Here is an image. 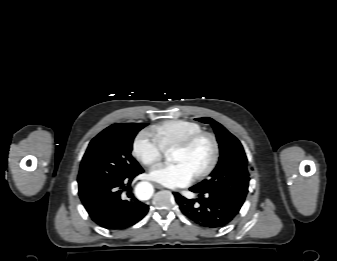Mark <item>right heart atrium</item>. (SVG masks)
Returning <instances> with one entry per match:
<instances>
[{
    "label": "right heart atrium",
    "instance_id": "obj_1",
    "mask_svg": "<svg viewBox=\"0 0 337 261\" xmlns=\"http://www.w3.org/2000/svg\"><path fill=\"white\" fill-rule=\"evenodd\" d=\"M135 156L144 165L151 167L161 161L165 150L157 138L147 130L141 131L133 143Z\"/></svg>",
    "mask_w": 337,
    "mask_h": 261
}]
</instances>
